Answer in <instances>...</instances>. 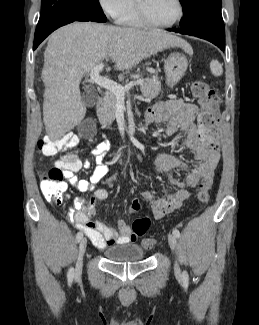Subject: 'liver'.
Segmentation results:
<instances>
[{
	"label": "liver",
	"instance_id": "liver-1",
	"mask_svg": "<svg viewBox=\"0 0 259 325\" xmlns=\"http://www.w3.org/2000/svg\"><path fill=\"white\" fill-rule=\"evenodd\" d=\"M170 47L190 51L185 40L161 30L75 22L55 31L44 52L41 74L43 121L49 137L60 139L84 119L86 106L79 85L97 64L111 58L114 69L127 70Z\"/></svg>",
	"mask_w": 259,
	"mask_h": 325
}]
</instances>
